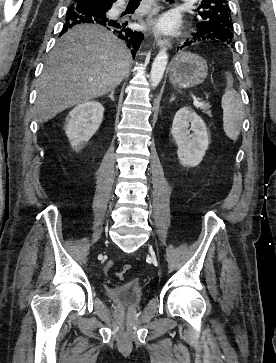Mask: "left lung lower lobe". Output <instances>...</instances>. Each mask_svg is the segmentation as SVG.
Segmentation results:
<instances>
[{
	"label": "left lung lower lobe",
	"instance_id": "1",
	"mask_svg": "<svg viewBox=\"0 0 276 363\" xmlns=\"http://www.w3.org/2000/svg\"><path fill=\"white\" fill-rule=\"evenodd\" d=\"M208 38H210V36L206 35L204 32H202L200 30H197L196 33H193L192 40H190V41L187 40L180 48L182 49L184 47L190 46L194 42L203 41Z\"/></svg>",
	"mask_w": 276,
	"mask_h": 363
}]
</instances>
